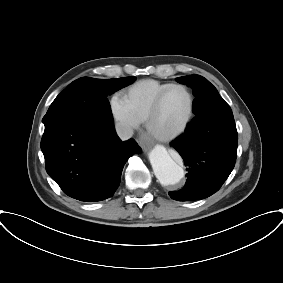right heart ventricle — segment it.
<instances>
[{
	"mask_svg": "<svg viewBox=\"0 0 283 283\" xmlns=\"http://www.w3.org/2000/svg\"><path fill=\"white\" fill-rule=\"evenodd\" d=\"M171 84L155 79H144L128 87L122 93V98L135 119L142 123L145 122L157 95Z\"/></svg>",
	"mask_w": 283,
	"mask_h": 283,
	"instance_id": "1",
	"label": "right heart ventricle"
}]
</instances>
